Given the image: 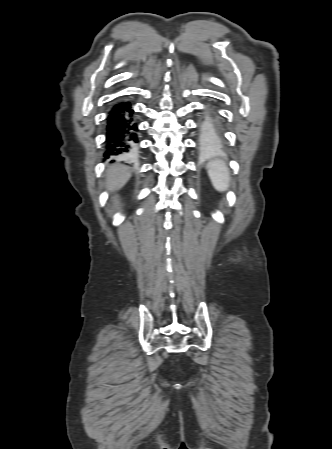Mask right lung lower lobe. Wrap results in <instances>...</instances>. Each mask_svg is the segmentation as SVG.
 Instances as JSON below:
<instances>
[{"label":"right lung lower lobe","mask_w":332,"mask_h":449,"mask_svg":"<svg viewBox=\"0 0 332 449\" xmlns=\"http://www.w3.org/2000/svg\"><path fill=\"white\" fill-rule=\"evenodd\" d=\"M133 114L128 101H118L112 106L107 117L106 159L116 156L127 158L134 153L138 128Z\"/></svg>","instance_id":"right-lung-lower-lobe-1"}]
</instances>
